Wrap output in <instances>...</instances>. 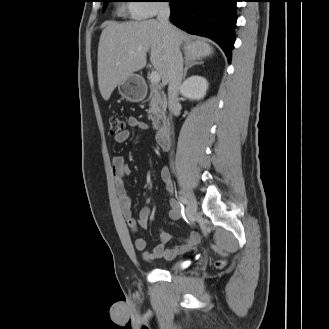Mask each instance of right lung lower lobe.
<instances>
[{"label": "right lung lower lobe", "instance_id": "obj_1", "mask_svg": "<svg viewBox=\"0 0 329 329\" xmlns=\"http://www.w3.org/2000/svg\"><path fill=\"white\" fill-rule=\"evenodd\" d=\"M170 20L182 30L209 37L224 50L228 60L235 42L236 2L239 0H168Z\"/></svg>", "mask_w": 329, "mask_h": 329}]
</instances>
